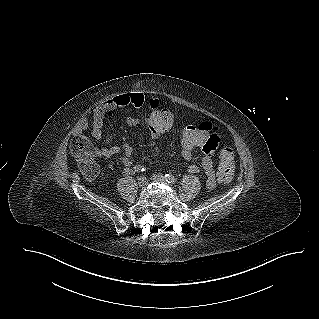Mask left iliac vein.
Here are the masks:
<instances>
[{
	"mask_svg": "<svg viewBox=\"0 0 319 319\" xmlns=\"http://www.w3.org/2000/svg\"><path fill=\"white\" fill-rule=\"evenodd\" d=\"M152 180L156 181V182H161V183H165L166 179L164 176H162L161 174H154L152 175Z\"/></svg>",
	"mask_w": 319,
	"mask_h": 319,
	"instance_id": "obj_1",
	"label": "left iliac vein"
}]
</instances>
